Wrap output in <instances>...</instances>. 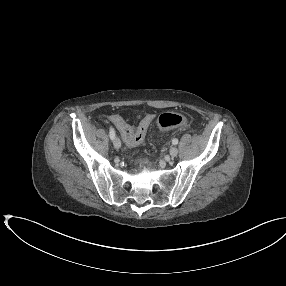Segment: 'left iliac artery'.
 Here are the masks:
<instances>
[{
    "label": "left iliac artery",
    "mask_w": 286,
    "mask_h": 286,
    "mask_svg": "<svg viewBox=\"0 0 286 286\" xmlns=\"http://www.w3.org/2000/svg\"><path fill=\"white\" fill-rule=\"evenodd\" d=\"M172 143H173L174 145H177V144H178V139H176V138L173 139V140H172Z\"/></svg>",
    "instance_id": "44dca946"
}]
</instances>
